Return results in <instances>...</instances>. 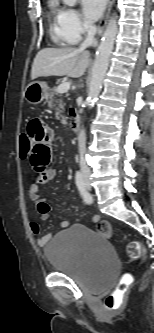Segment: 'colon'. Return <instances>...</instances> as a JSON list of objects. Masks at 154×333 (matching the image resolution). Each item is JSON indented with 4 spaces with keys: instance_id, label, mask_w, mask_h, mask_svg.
<instances>
[{
    "instance_id": "5ec220e1",
    "label": "colon",
    "mask_w": 154,
    "mask_h": 333,
    "mask_svg": "<svg viewBox=\"0 0 154 333\" xmlns=\"http://www.w3.org/2000/svg\"><path fill=\"white\" fill-rule=\"evenodd\" d=\"M31 147L32 142L29 136L27 134H22L19 139V150L21 158L26 159L30 156ZM97 232L106 238L112 237V227L107 221H101L98 223ZM144 253V246L139 241H131L127 246V254L131 259H140L144 256ZM129 284V277H125L119 282L116 289L105 297L104 304L106 308L114 310L121 306L123 296L127 291Z\"/></svg>"
}]
</instances>
